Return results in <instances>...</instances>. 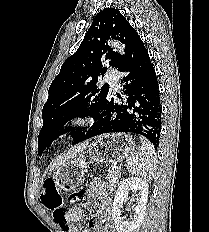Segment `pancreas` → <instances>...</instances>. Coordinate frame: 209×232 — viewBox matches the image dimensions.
Listing matches in <instances>:
<instances>
[{"instance_id":"1","label":"pancreas","mask_w":209,"mask_h":232,"mask_svg":"<svg viewBox=\"0 0 209 232\" xmlns=\"http://www.w3.org/2000/svg\"><path fill=\"white\" fill-rule=\"evenodd\" d=\"M120 175H121V169L119 167H117L116 169L111 168L108 170L106 179L109 183V188L111 190L116 189Z\"/></svg>"}]
</instances>
